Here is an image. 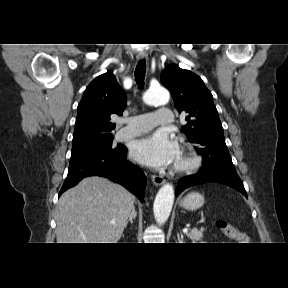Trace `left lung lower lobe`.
<instances>
[{"label":"left lung lower lobe","mask_w":288,"mask_h":288,"mask_svg":"<svg viewBox=\"0 0 288 288\" xmlns=\"http://www.w3.org/2000/svg\"><path fill=\"white\" fill-rule=\"evenodd\" d=\"M216 182L235 188L247 197L243 183L237 173L225 171L223 169L212 168L208 170L201 169L198 173L183 177L179 180L175 195L181 193L184 189L202 183Z\"/></svg>","instance_id":"left-lung-lower-lobe-1"}]
</instances>
